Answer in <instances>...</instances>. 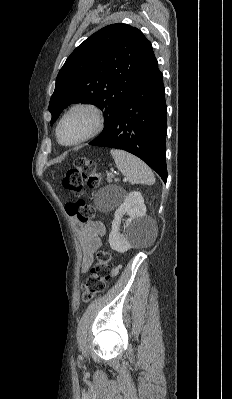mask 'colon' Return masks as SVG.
<instances>
[{"label":"colon","mask_w":232,"mask_h":399,"mask_svg":"<svg viewBox=\"0 0 232 399\" xmlns=\"http://www.w3.org/2000/svg\"><path fill=\"white\" fill-rule=\"evenodd\" d=\"M94 164L95 161L90 158H77L74 161L76 170H71V175H64V180H62V185L68 186L71 196H84L82 185H86V180L94 179L98 182L105 180V175H102L101 171L94 173ZM106 182H111V177H106ZM75 202L65 203L70 218H92L94 209L86 211V208H90V203H85V198H76ZM94 258H97V262L90 263V269H88L90 276L86 277V284H83L86 293H81V298L90 299L91 295L100 298L103 287H107V277H113L114 256L108 251H99L94 253ZM107 262L110 263L108 268Z\"/></svg>","instance_id":"colon-1"}]
</instances>
